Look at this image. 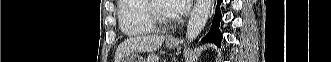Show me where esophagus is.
I'll return each mask as SVG.
<instances>
[{
  "label": "esophagus",
  "instance_id": "34e87169",
  "mask_svg": "<svg viewBox=\"0 0 331 62\" xmlns=\"http://www.w3.org/2000/svg\"><path fill=\"white\" fill-rule=\"evenodd\" d=\"M171 41H176V38L175 37H170L169 38Z\"/></svg>",
  "mask_w": 331,
  "mask_h": 62
}]
</instances>
